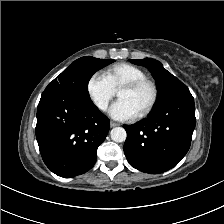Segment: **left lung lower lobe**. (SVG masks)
I'll list each match as a JSON object with an SVG mask.
<instances>
[{
  "label": "left lung lower lobe",
  "instance_id": "1",
  "mask_svg": "<svg viewBox=\"0 0 224 224\" xmlns=\"http://www.w3.org/2000/svg\"><path fill=\"white\" fill-rule=\"evenodd\" d=\"M195 125V105L191 94L153 110L136 124L124 125L127 132L124 153L128 162L150 174L173 168L189 150Z\"/></svg>",
  "mask_w": 224,
  "mask_h": 224
}]
</instances>
